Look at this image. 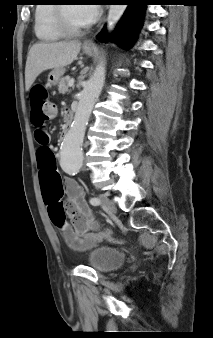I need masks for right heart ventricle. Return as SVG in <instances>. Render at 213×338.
Listing matches in <instances>:
<instances>
[{"label": "right heart ventricle", "instance_id": "1", "mask_svg": "<svg viewBox=\"0 0 213 338\" xmlns=\"http://www.w3.org/2000/svg\"><path fill=\"white\" fill-rule=\"evenodd\" d=\"M35 8V33L43 42H56L63 38V34L56 26V5L47 0H40Z\"/></svg>", "mask_w": 213, "mask_h": 338}]
</instances>
